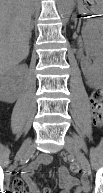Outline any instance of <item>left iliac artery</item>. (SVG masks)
<instances>
[{
	"instance_id": "left-iliac-artery-1",
	"label": "left iliac artery",
	"mask_w": 103,
	"mask_h": 193,
	"mask_svg": "<svg viewBox=\"0 0 103 193\" xmlns=\"http://www.w3.org/2000/svg\"><path fill=\"white\" fill-rule=\"evenodd\" d=\"M79 147H81L85 152H87V148L84 144H82L81 142L77 141Z\"/></svg>"
}]
</instances>
